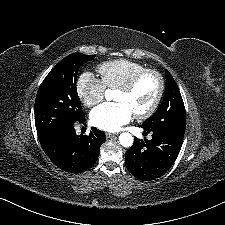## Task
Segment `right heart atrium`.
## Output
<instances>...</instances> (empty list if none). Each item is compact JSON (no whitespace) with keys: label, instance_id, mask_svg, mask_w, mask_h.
Masks as SVG:
<instances>
[{"label":"right heart atrium","instance_id":"d8ad5b80","mask_svg":"<svg viewBox=\"0 0 225 225\" xmlns=\"http://www.w3.org/2000/svg\"><path fill=\"white\" fill-rule=\"evenodd\" d=\"M106 86L102 79L90 71L83 72L76 83L77 95L88 107L95 106L103 100Z\"/></svg>","mask_w":225,"mask_h":225}]
</instances>
